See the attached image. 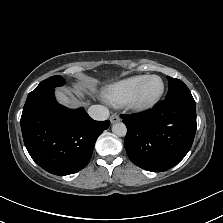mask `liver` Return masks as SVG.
<instances>
[{"instance_id":"liver-1","label":"liver","mask_w":223,"mask_h":223,"mask_svg":"<svg viewBox=\"0 0 223 223\" xmlns=\"http://www.w3.org/2000/svg\"><path fill=\"white\" fill-rule=\"evenodd\" d=\"M67 93L71 95L69 91ZM56 96L58 100L63 104H72L73 106L78 105V102L75 99L69 98L63 91L58 90L56 92Z\"/></svg>"}]
</instances>
